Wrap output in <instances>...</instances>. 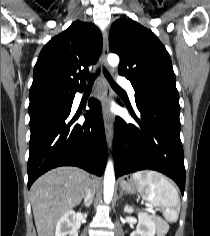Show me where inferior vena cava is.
<instances>
[{
	"instance_id": "602c4592",
	"label": "inferior vena cava",
	"mask_w": 210,
	"mask_h": 236,
	"mask_svg": "<svg viewBox=\"0 0 210 236\" xmlns=\"http://www.w3.org/2000/svg\"><path fill=\"white\" fill-rule=\"evenodd\" d=\"M93 196H94V192L89 186L84 197V204L86 207L90 206V204L92 203Z\"/></svg>"
}]
</instances>
